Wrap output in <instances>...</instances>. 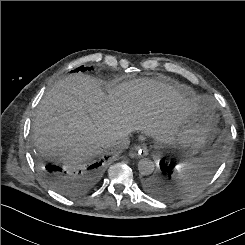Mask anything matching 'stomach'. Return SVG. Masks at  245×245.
<instances>
[{
    "label": "stomach",
    "mask_w": 245,
    "mask_h": 245,
    "mask_svg": "<svg viewBox=\"0 0 245 245\" xmlns=\"http://www.w3.org/2000/svg\"><path fill=\"white\" fill-rule=\"evenodd\" d=\"M217 123L214 103L204 99L196 111L181 121L172 140L182 148L198 152L215 139L218 133Z\"/></svg>",
    "instance_id": "obj_1"
}]
</instances>
